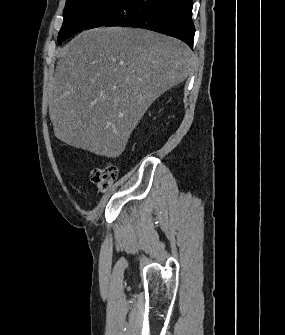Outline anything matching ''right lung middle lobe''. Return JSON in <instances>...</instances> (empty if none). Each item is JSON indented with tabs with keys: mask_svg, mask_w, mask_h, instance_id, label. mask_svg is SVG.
<instances>
[{
	"mask_svg": "<svg viewBox=\"0 0 285 335\" xmlns=\"http://www.w3.org/2000/svg\"><path fill=\"white\" fill-rule=\"evenodd\" d=\"M115 0H67L64 9V20L58 34V42L66 40L95 16L107 9Z\"/></svg>",
	"mask_w": 285,
	"mask_h": 335,
	"instance_id": "dd1d6c3e",
	"label": "right lung middle lobe"
}]
</instances>
